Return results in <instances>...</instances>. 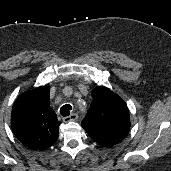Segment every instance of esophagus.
Masks as SVG:
<instances>
[{
	"label": "esophagus",
	"mask_w": 171,
	"mask_h": 171,
	"mask_svg": "<svg viewBox=\"0 0 171 171\" xmlns=\"http://www.w3.org/2000/svg\"><path fill=\"white\" fill-rule=\"evenodd\" d=\"M77 119H78V114L72 113L71 115L65 117V118L63 119V121H64L65 123H67V122H69V121H75V120H77Z\"/></svg>",
	"instance_id": "34e87169"
}]
</instances>
